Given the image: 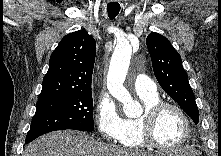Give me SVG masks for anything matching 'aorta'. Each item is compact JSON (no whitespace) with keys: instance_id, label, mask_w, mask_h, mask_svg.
<instances>
[{"instance_id":"aorta-1","label":"aorta","mask_w":221,"mask_h":156,"mask_svg":"<svg viewBox=\"0 0 221 156\" xmlns=\"http://www.w3.org/2000/svg\"><path fill=\"white\" fill-rule=\"evenodd\" d=\"M132 46L128 39L123 38L116 44L107 76V88L110 94L123 104V111L128 117H138L142 113L141 105L133 100L129 91L123 86L125 81Z\"/></svg>"}]
</instances>
